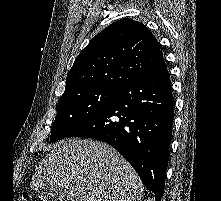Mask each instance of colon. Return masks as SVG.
Instances as JSON below:
<instances>
[{
    "mask_svg": "<svg viewBox=\"0 0 221 201\" xmlns=\"http://www.w3.org/2000/svg\"><path fill=\"white\" fill-rule=\"evenodd\" d=\"M18 201H34V200L32 199V197H31L29 194L24 193V194L18 199Z\"/></svg>",
    "mask_w": 221,
    "mask_h": 201,
    "instance_id": "obj_1",
    "label": "colon"
}]
</instances>
